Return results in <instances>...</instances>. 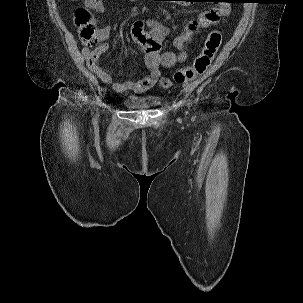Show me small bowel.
I'll return each instance as SVG.
<instances>
[{
    "label": "small bowel",
    "instance_id": "c3829d8e",
    "mask_svg": "<svg viewBox=\"0 0 303 303\" xmlns=\"http://www.w3.org/2000/svg\"><path fill=\"white\" fill-rule=\"evenodd\" d=\"M130 1L136 2L138 0ZM87 4L97 13H102L105 10V0H87ZM229 11V5L221 4L201 13L197 20L189 21L183 31L174 38L173 44L178 52L161 51L162 42L169 34V28L160 20L134 21L131 26V34L145 54V63L149 69V74L138 80L126 79L117 82L114 80L112 72L99 64L101 55L109 48L106 40L111 31L110 27H106L100 33L103 42L95 49L84 48L83 55L89 69L98 75L104 83L112 85L117 92H147L153 89L156 81L162 75L163 68H170L185 61L184 48L201 29L218 24ZM145 26L150 29L149 32L145 31ZM160 85L168 87L170 81L162 79Z\"/></svg>",
    "mask_w": 303,
    "mask_h": 303
}]
</instances>
